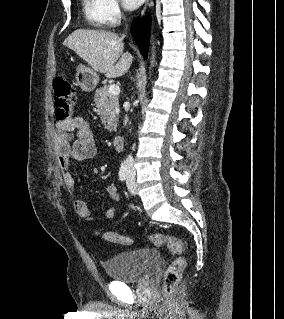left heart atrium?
Masks as SVG:
<instances>
[{
  "instance_id": "left-heart-atrium-1",
  "label": "left heart atrium",
  "mask_w": 284,
  "mask_h": 319,
  "mask_svg": "<svg viewBox=\"0 0 284 319\" xmlns=\"http://www.w3.org/2000/svg\"><path fill=\"white\" fill-rule=\"evenodd\" d=\"M144 0H122L123 5L130 10L138 8Z\"/></svg>"
}]
</instances>
